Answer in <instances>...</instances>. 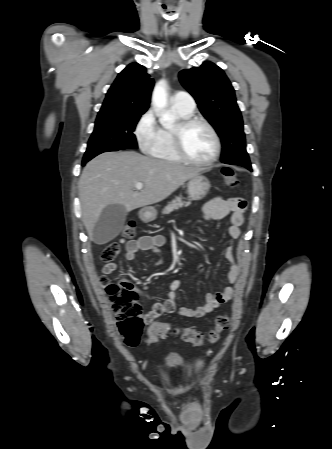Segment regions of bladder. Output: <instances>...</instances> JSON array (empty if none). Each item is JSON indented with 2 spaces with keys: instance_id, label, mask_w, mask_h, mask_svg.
Returning a JSON list of instances; mask_svg holds the SVG:
<instances>
[{
  "instance_id": "1",
  "label": "bladder",
  "mask_w": 332,
  "mask_h": 449,
  "mask_svg": "<svg viewBox=\"0 0 332 449\" xmlns=\"http://www.w3.org/2000/svg\"><path fill=\"white\" fill-rule=\"evenodd\" d=\"M186 362L185 357L179 353H170L166 355L162 363V373L166 374L174 369L181 367Z\"/></svg>"
}]
</instances>
